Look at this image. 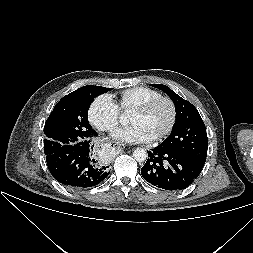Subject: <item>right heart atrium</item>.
Instances as JSON below:
<instances>
[{
	"mask_svg": "<svg viewBox=\"0 0 253 253\" xmlns=\"http://www.w3.org/2000/svg\"><path fill=\"white\" fill-rule=\"evenodd\" d=\"M121 110L108 94L97 96L88 110L91 124L102 132H114L119 124Z\"/></svg>",
	"mask_w": 253,
	"mask_h": 253,
	"instance_id": "d8ad5b80",
	"label": "right heart atrium"
}]
</instances>
